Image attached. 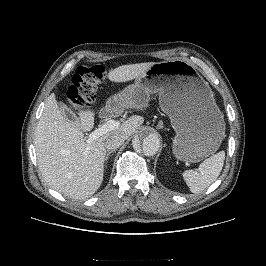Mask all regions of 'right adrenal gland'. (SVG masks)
Returning <instances> with one entry per match:
<instances>
[{
	"mask_svg": "<svg viewBox=\"0 0 266 266\" xmlns=\"http://www.w3.org/2000/svg\"><path fill=\"white\" fill-rule=\"evenodd\" d=\"M113 152H115V150H110V151L107 152L106 157H105V161H106V162H107V160H108L110 154L113 153Z\"/></svg>",
	"mask_w": 266,
	"mask_h": 266,
	"instance_id": "right-adrenal-gland-1",
	"label": "right adrenal gland"
}]
</instances>
